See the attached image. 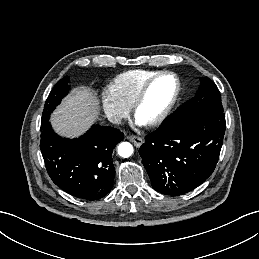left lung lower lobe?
<instances>
[{"mask_svg":"<svg viewBox=\"0 0 259 259\" xmlns=\"http://www.w3.org/2000/svg\"><path fill=\"white\" fill-rule=\"evenodd\" d=\"M223 112H195L145 137L139 153L153 189L165 195L185 194L214 171L223 144Z\"/></svg>","mask_w":259,"mask_h":259,"instance_id":"left-lung-lower-lobe-1","label":"left lung lower lobe"}]
</instances>
